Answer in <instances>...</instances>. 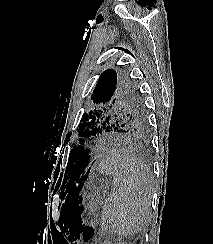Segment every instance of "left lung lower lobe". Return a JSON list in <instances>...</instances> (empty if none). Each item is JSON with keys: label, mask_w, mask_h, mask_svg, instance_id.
I'll use <instances>...</instances> for the list:
<instances>
[{"label": "left lung lower lobe", "mask_w": 213, "mask_h": 244, "mask_svg": "<svg viewBox=\"0 0 213 244\" xmlns=\"http://www.w3.org/2000/svg\"><path fill=\"white\" fill-rule=\"evenodd\" d=\"M94 162H92V164H93ZM89 170H90V168L88 169V171L86 172V173H84V175L82 176V179H81V182L79 183V185H78V188H80L82 185H83V183L85 182V180L87 179V177H88V174H89Z\"/></svg>", "instance_id": "0a47b994"}]
</instances>
